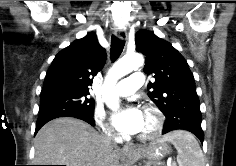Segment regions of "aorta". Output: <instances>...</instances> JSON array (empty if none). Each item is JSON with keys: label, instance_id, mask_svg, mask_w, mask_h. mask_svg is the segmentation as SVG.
I'll list each match as a JSON object with an SVG mask.
<instances>
[{"label": "aorta", "instance_id": "aorta-1", "mask_svg": "<svg viewBox=\"0 0 236 166\" xmlns=\"http://www.w3.org/2000/svg\"><path fill=\"white\" fill-rule=\"evenodd\" d=\"M143 61L140 54L126 55L109 70L104 84L103 100L110 109L117 110L119 108V97L115 89L117 80L139 69L143 65Z\"/></svg>", "mask_w": 236, "mask_h": 166}]
</instances>
